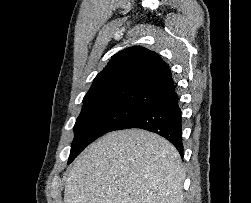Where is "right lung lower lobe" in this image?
Instances as JSON below:
<instances>
[{
  "instance_id": "1",
  "label": "right lung lower lobe",
  "mask_w": 251,
  "mask_h": 203,
  "mask_svg": "<svg viewBox=\"0 0 251 203\" xmlns=\"http://www.w3.org/2000/svg\"><path fill=\"white\" fill-rule=\"evenodd\" d=\"M174 93L167 99L143 108L117 125L113 131L140 128L157 133L169 140L183 157L182 117Z\"/></svg>"
}]
</instances>
